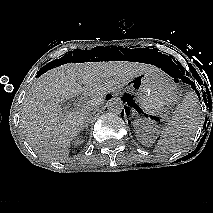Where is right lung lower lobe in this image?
I'll return each instance as SVG.
<instances>
[{"instance_id":"1","label":"right lung lower lobe","mask_w":213,"mask_h":213,"mask_svg":"<svg viewBox=\"0 0 213 213\" xmlns=\"http://www.w3.org/2000/svg\"><path fill=\"white\" fill-rule=\"evenodd\" d=\"M52 63V62H51ZM47 66V65H46ZM46 66H44L43 68L40 69V71L38 72V76H40L43 72H44V69L46 68Z\"/></svg>"}]
</instances>
